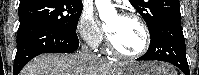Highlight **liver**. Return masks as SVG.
Returning a JSON list of instances; mask_svg holds the SVG:
<instances>
[{
    "instance_id": "liver-1",
    "label": "liver",
    "mask_w": 199,
    "mask_h": 75,
    "mask_svg": "<svg viewBox=\"0 0 199 75\" xmlns=\"http://www.w3.org/2000/svg\"><path fill=\"white\" fill-rule=\"evenodd\" d=\"M120 67L124 65H115L79 51L37 56L22 69L20 75H115ZM171 74L176 75L175 72Z\"/></svg>"
}]
</instances>
